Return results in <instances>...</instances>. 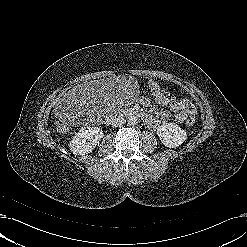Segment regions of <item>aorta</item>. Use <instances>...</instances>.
<instances>
[{
    "mask_svg": "<svg viewBox=\"0 0 247 247\" xmlns=\"http://www.w3.org/2000/svg\"><path fill=\"white\" fill-rule=\"evenodd\" d=\"M127 122L129 125H137V123L139 122V119L137 116L135 115H130L127 119Z\"/></svg>",
    "mask_w": 247,
    "mask_h": 247,
    "instance_id": "aorta-1",
    "label": "aorta"
}]
</instances>
